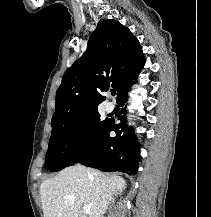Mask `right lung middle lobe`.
I'll return each mask as SVG.
<instances>
[{
    "label": "right lung middle lobe",
    "instance_id": "right-lung-middle-lobe-1",
    "mask_svg": "<svg viewBox=\"0 0 211 217\" xmlns=\"http://www.w3.org/2000/svg\"><path fill=\"white\" fill-rule=\"evenodd\" d=\"M108 122L101 121L98 111H94L53 127L45 169L56 172L86 158L103 139Z\"/></svg>",
    "mask_w": 211,
    "mask_h": 217
}]
</instances>
